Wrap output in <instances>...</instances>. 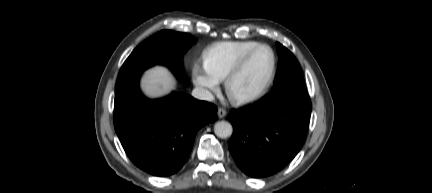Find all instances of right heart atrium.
<instances>
[{
	"instance_id": "d8ad5b80",
	"label": "right heart atrium",
	"mask_w": 432,
	"mask_h": 193,
	"mask_svg": "<svg viewBox=\"0 0 432 193\" xmlns=\"http://www.w3.org/2000/svg\"><path fill=\"white\" fill-rule=\"evenodd\" d=\"M192 80L205 94L218 91L219 82L208 72L204 65L195 62L192 66Z\"/></svg>"
}]
</instances>
